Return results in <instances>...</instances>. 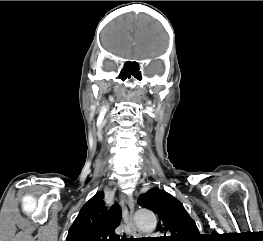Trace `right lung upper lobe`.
<instances>
[{
    "label": "right lung upper lobe",
    "instance_id": "right-lung-upper-lobe-1",
    "mask_svg": "<svg viewBox=\"0 0 263 241\" xmlns=\"http://www.w3.org/2000/svg\"><path fill=\"white\" fill-rule=\"evenodd\" d=\"M104 193H96L81 208L69 229L66 241H120L115 229L121 220L119 205L108 208Z\"/></svg>",
    "mask_w": 263,
    "mask_h": 241
}]
</instances>
